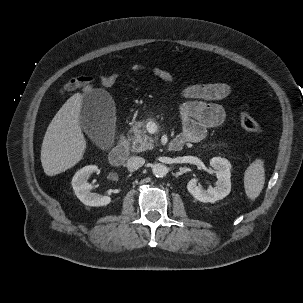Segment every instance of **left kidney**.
<instances>
[{"label":"left kidney","instance_id":"5707ae66","mask_svg":"<svg viewBox=\"0 0 303 303\" xmlns=\"http://www.w3.org/2000/svg\"><path fill=\"white\" fill-rule=\"evenodd\" d=\"M210 166L216 170L217 182L215 187H209L207 190L197 185L195 178L187 184L189 193L200 202L214 203L217 200L225 198L231 191V164L221 157H214L210 160Z\"/></svg>","mask_w":303,"mask_h":303}]
</instances>
